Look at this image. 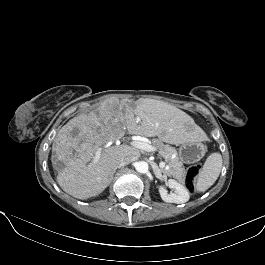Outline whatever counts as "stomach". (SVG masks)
I'll return each mask as SVG.
<instances>
[{
	"label": "stomach",
	"instance_id": "stomach-1",
	"mask_svg": "<svg viewBox=\"0 0 265 265\" xmlns=\"http://www.w3.org/2000/svg\"><path fill=\"white\" fill-rule=\"evenodd\" d=\"M204 153V145L197 140L184 142L178 149L180 161L186 164L196 163L203 157Z\"/></svg>",
	"mask_w": 265,
	"mask_h": 265
}]
</instances>
